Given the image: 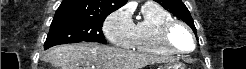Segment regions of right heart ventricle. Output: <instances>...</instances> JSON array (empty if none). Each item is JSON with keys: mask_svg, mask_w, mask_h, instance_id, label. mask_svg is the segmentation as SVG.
Instances as JSON below:
<instances>
[{"mask_svg": "<svg viewBox=\"0 0 246 69\" xmlns=\"http://www.w3.org/2000/svg\"><path fill=\"white\" fill-rule=\"evenodd\" d=\"M171 20L174 18L169 11L153 2H146L141 8V17L134 24L130 48L155 56L170 55V49L160 42L159 32L162 25Z\"/></svg>", "mask_w": 246, "mask_h": 69, "instance_id": "obj_1", "label": "right heart ventricle"}]
</instances>
